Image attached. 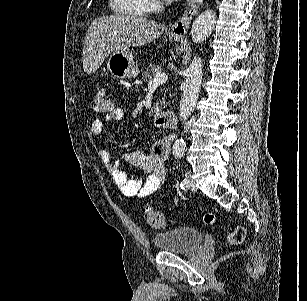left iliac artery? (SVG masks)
Instances as JSON below:
<instances>
[{"label": "left iliac artery", "mask_w": 307, "mask_h": 301, "mask_svg": "<svg viewBox=\"0 0 307 301\" xmlns=\"http://www.w3.org/2000/svg\"><path fill=\"white\" fill-rule=\"evenodd\" d=\"M187 184H188V180H187V179H183V180L181 181V183H180L181 189H185L186 186H187Z\"/></svg>", "instance_id": "obj_1"}]
</instances>
